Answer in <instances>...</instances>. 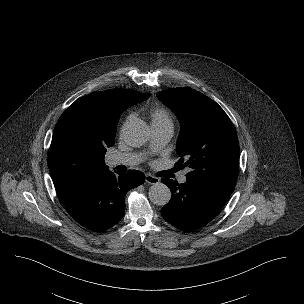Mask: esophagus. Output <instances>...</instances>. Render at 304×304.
<instances>
[{"mask_svg": "<svg viewBox=\"0 0 304 304\" xmlns=\"http://www.w3.org/2000/svg\"><path fill=\"white\" fill-rule=\"evenodd\" d=\"M145 181L149 184H158L160 179L150 174L145 175Z\"/></svg>", "mask_w": 304, "mask_h": 304, "instance_id": "obj_1", "label": "esophagus"}]
</instances>
